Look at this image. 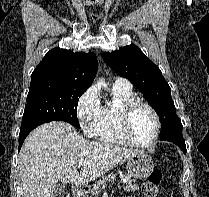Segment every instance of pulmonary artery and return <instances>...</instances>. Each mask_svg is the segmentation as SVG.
Listing matches in <instances>:
<instances>
[{
	"instance_id": "pulmonary-artery-1",
	"label": "pulmonary artery",
	"mask_w": 209,
	"mask_h": 197,
	"mask_svg": "<svg viewBox=\"0 0 209 197\" xmlns=\"http://www.w3.org/2000/svg\"><path fill=\"white\" fill-rule=\"evenodd\" d=\"M113 86L131 88V84L129 83V81L122 77H117L113 83Z\"/></svg>"
}]
</instances>
